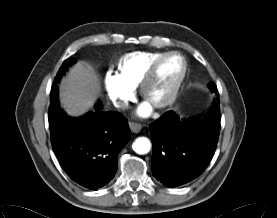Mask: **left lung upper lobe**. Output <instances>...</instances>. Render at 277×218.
<instances>
[{"instance_id": "left-lung-upper-lobe-1", "label": "left lung upper lobe", "mask_w": 277, "mask_h": 218, "mask_svg": "<svg viewBox=\"0 0 277 218\" xmlns=\"http://www.w3.org/2000/svg\"><path fill=\"white\" fill-rule=\"evenodd\" d=\"M209 88H210V90H211L212 92H214V93H216V92L218 91L216 85L210 84V85H209Z\"/></svg>"}]
</instances>
